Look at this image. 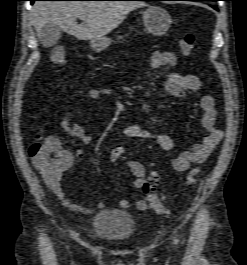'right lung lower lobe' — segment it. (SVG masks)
Instances as JSON below:
<instances>
[{
  "label": "right lung lower lobe",
  "mask_w": 247,
  "mask_h": 265,
  "mask_svg": "<svg viewBox=\"0 0 247 265\" xmlns=\"http://www.w3.org/2000/svg\"><path fill=\"white\" fill-rule=\"evenodd\" d=\"M29 1H31V3L33 4V3H34V1H37V0H29ZM140 1H144V0H140Z\"/></svg>",
  "instance_id": "right-lung-lower-lobe-1"
}]
</instances>
